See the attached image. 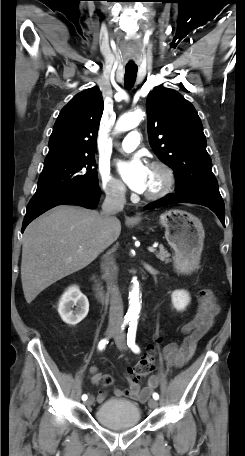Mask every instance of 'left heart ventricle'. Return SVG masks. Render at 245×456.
<instances>
[{
    "instance_id": "1",
    "label": "left heart ventricle",
    "mask_w": 245,
    "mask_h": 456,
    "mask_svg": "<svg viewBox=\"0 0 245 456\" xmlns=\"http://www.w3.org/2000/svg\"><path fill=\"white\" fill-rule=\"evenodd\" d=\"M163 183V175L159 170L148 168L147 185L144 192H152L160 188Z\"/></svg>"
}]
</instances>
